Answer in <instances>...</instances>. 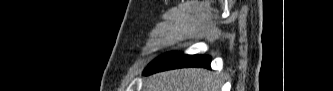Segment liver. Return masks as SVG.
<instances>
[{
    "label": "liver",
    "mask_w": 333,
    "mask_h": 91,
    "mask_svg": "<svg viewBox=\"0 0 333 91\" xmlns=\"http://www.w3.org/2000/svg\"><path fill=\"white\" fill-rule=\"evenodd\" d=\"M220 80L205 69L186 68L147 78L144 91H219Z\"/></svg>",
    "instance_id": "1"
}]
</instances>
